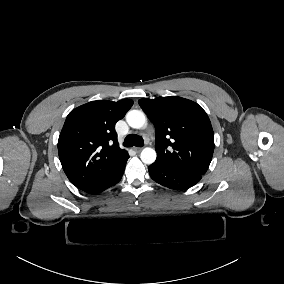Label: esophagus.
Returning <instances> with one entry per match:
<instances>
[{"instance_id": "1", "label": "esophagus", "mask_w": 284, "mask_h": 284, "mask_svg": "<svg viewBox=\"0 0 284 284\" xmlns=\"http://www.w3.org/2000/svg\"><path fill=\"white\" fill-rule=\"evenodd\" d=\"M133 149L136 151V152H140L143 148L142 147H133Z\"/></svg>"}]
</instances>
